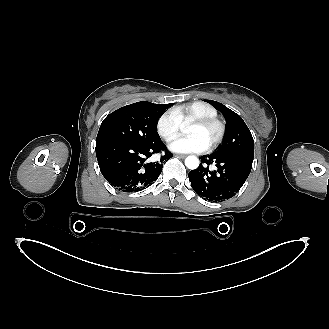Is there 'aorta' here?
Instances as JSON below:
<instances>
[{
    "label": "aorta",
    "mask_w": 329,
    "mask_h": 329,
    "mask_svg": "<svg viewBox=\"0 0 329 329\" xmlns=\"http://www.w3.org/2000/svg\"><path fill=\"white\" fill-rule=\"evenodd\" d=\"M185 166L188 169L194 170L199 167V159L196 156H188L185 159Z\"/></svg>",
    "instance_id": "1"
}]
</instances>
